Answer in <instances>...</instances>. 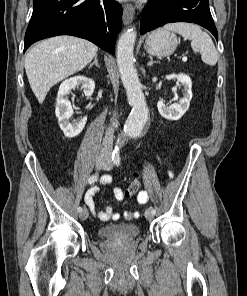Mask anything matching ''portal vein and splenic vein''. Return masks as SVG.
<instances>
[{"mask_svg":"<svg viewBox=\"0 0 247 296\" xmlns=\"http://www.w3.org/2000/svg\"><path fill=\"white\" fill-rule=\"evenodd\" d=\"M182 60H183V62H186V61H187V57L184 56V57L182 58Z\"/></svg>","mask_w":247,"mask_h":296,"instance_id":"portal-vein-and-splenic-vein-1","label":"portal vein and splenic vein"}]
</instances>
